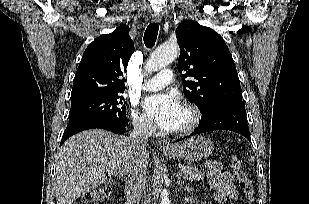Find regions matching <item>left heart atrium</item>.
<instances>
[{
    "mask_svg": "<svg viewBox=\"0 0 309 204\" xmlns=\"http://www.w3.org/2000/svg\"><path fill=\"white\" fill-rule=\"evenodd\" d=\"M147 115L165 130H175L181 105L173 95L154 94L147 96L143 102Z\"/></svg>",
    "mask_w": 309,
    "mask_h": 204,
    "instance_id": "39dd6f15",
    "label": "left heart atrium"
}]
</instances>
